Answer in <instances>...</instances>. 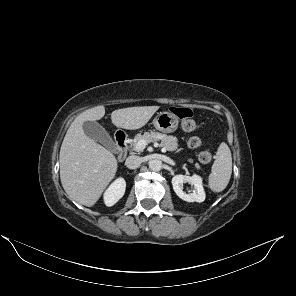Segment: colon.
Listing matches in <instances>:
<instances>
[{"label":"colon","mask_w":296,"mask_h":296,"mask_svg":"<svg viewBox=\"0 0 296 296\" xmlns=\"http://www.w3.org/2000/svg\"><path fill=\"white\" fill-rule=\"evenodd\" d=\"M171 112L181 119V126L184 131L191 132L197 129V124L193 119V112L190 108L174 106L171 108ZM187 144L191 149H198L202 142L199 137L193 136L189 138ZM198 159L201 163H209L212 160V154L208 151H203L198 155Z\"/></svg>","instance_id":"1"}]
</instances>
